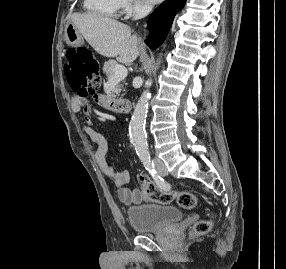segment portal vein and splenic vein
<instances>
[{"label":"portal vein and splenic vein","instance_id":"portal-vein-and-splenic-vein-1","mask_svg":"<svg viewBox=\"0 0 286 269\" xmlns=\"http://www.w3.org/2000/svg\"><path fill=\"white\" fill-rule=\"evenodd\" d=\"M126 76L127 69L124 66L117 64L115 66L114 76L111 78V80H119L125 78Z\"/></svg>","mask_w":286,"mask_h":269}]
</instances>
